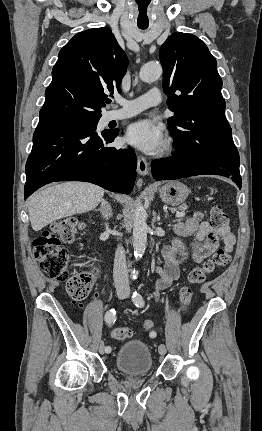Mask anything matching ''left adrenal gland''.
<instances>
[{"mask_svg": "<svg viewBox=\"0 0 262 431\" xmlns=\"http://www.w3.org/2000/svg\"><path fill=\"white\" fill-rule=\"evenodd\" d=\"M159 219H160V217H159V215L157 216V221H159Z\"/></svg>", "mask_w": 262, "mask_h": 431, "instance_id": "a2214340", "label": "left adrenal gland"}]
</instances>
